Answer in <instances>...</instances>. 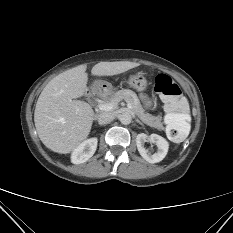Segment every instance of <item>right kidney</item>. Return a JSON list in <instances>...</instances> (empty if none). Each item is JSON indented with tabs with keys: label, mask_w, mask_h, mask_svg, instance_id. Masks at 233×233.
I'll return each mask as SVG.
<instances>
[{
	"label": "right kidney",
	"mask_w": 233,
	"mask_h": 233,
	"mask_svg": "<svg viewBox=\"0 0 233 233\" xmlns=\"http://www.w3.org/2000/svg\"><path fill=\"white\" fill-rule=\"evenodd\" d=\"M98 140L90 138L80 143L72 152L71 161L73 164H81L86 162L93 156L96 151Z\"/></svg>",
	"instance_id": "ca27d5eb"
}]
</instances>
